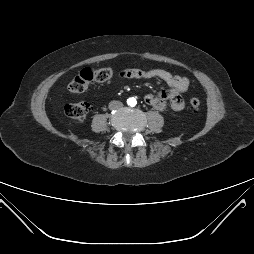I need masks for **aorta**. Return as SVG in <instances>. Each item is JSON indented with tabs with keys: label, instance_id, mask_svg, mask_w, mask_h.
Here are the masks:
<instances>
[{
	"label": "aorta",
	"instance_id": "1",
	"mask_svg": "<svg viewBox=\"0 0 254 254\" xmlns=\"http://www.w3.org/2000/svg\"><path fill=\"white\" fill-rule=\"evenodd\" d=\"M127 104L131 107H134L137 104V101L134 97H130L127 99Z\"/></svg>",
	"mask_w": 254,
	"mask_h": 254
}]
</instances>
